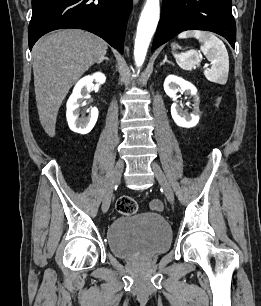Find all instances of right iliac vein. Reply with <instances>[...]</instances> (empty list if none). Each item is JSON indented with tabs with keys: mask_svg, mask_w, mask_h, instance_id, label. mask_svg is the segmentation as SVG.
Listing matches in <instances>:
<instances>
[{
	"mask_svg": "<svg viewBox=\"0 0 261 306\" xmlns=\"http://www.w3.org/2000/svg\"><path fill=\"white\" fill-rule=\"evenodd\" d=\"M123 169H124L123 161L118 160L116 165H115V168L113 170L110 182H109L108 187H107L105 197H104L103 202H102V211L104 213H106L108 211L109 207H110L111 197H112V192H113L114 186L120 181Z\"/></svg>",
	"mask_w": 261,
	"mask_h": 306,
	"instance_id": "obj_1",
	"label": "right iliac vein"
}]
</instances>
